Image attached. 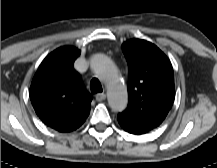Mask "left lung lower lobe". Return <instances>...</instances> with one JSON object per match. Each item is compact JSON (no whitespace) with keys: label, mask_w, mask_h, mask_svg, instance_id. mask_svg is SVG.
Segmentation results:
<instances>
[{"label":"left lung lower lobe","mask_w":217,"mask_h":168,"mask_svg":"<svg viewBox=\"0 0 217 168\" xmlns=\"http://www.w3.org/2000/svg\"><path fill=\"white\" fill-rule=\"evenodd\" d=\"M118 122L120 124V126L127 132L131 133V134H137V135H140V134H145L147 132H144L142 130H139L125 122H122L121 120L118 119Z\"/></svg>","instance_id":"obj_1"}]
</instances>
